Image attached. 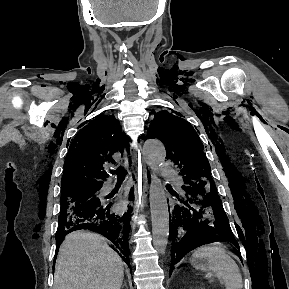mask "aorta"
<instances>
[{"instance_id": "obj_1", "label": "aorta", "mask_w": 289, "mask_h": 289, "mask_svg": "<svg viewBox=\"0 0 289 289\" xmlns=\"http://www.w3.org/2000/svg\"><path fill=\"white\" fill-rule=\"evenodd\" d=\"M143 155L147 165L153 171L149 190L152 236L154 248L164 253L169 236V212L162 181L157 172L166 159L165 146L159 140L149 139L143 145Z\"/></svg>"}]
</instances>
